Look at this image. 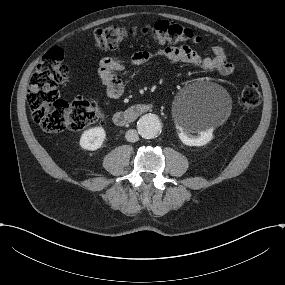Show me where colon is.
Segmentation results:
<instances>
[{"instance_id":"1","label":"colon","mask_w":285,"mask_h":285,"mask_svg":"<svg viewBox=\"0 0 285 285\" xmlns=\"http://www.w3.org/2000/svg\"><path fill=\"white\" fill-rule=\"evenodd\" d=\"M92 36L95 46L104 50H114L124 41L137 37H145L155 44L201 43V38L189 28L166 20L142 28L108 26L95 30ZM63 60L61 49H50L32 74L27 93L32 119L51 133L83 130L102 119V112L95 100L66 101L60 98L58 86L69 72ZM260 102L261 93L256 85L243 88L240 103L244 109H253Z\"/></svg>"}]
</instances>
